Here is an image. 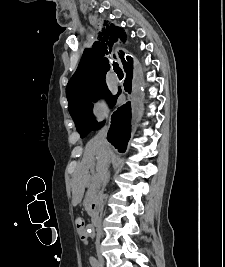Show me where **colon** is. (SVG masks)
<instances>
[{"instance_id": "5ec220e1", "label": "colon", "mask_w": 225, "mask_h": 267, "mask_svg": "<svg viewBox=\"0 0 225 267\" xmlns=\"http://www.w3.org/2000/svg\"><path fill=\"white\" fill-rule=\"evenodd\" d=\"M75 226L79 235H83L85 233V221L83 218L81 217L76 218Z\"/></svg>"}]
</instances>
